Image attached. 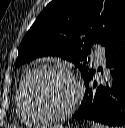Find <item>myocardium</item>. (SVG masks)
<instances>
[{"mask_svg":"<svg viewBox=\"0 0 125 128\" xmlns=\"http://www.w3.org/2000/svg\"><path fill=\"white\" fill-rule=\"evenodd\" d=\"M43 72H56V73L63 74L70 79V81L72 82L75 88V96L72 103L66 109H64L59 113L41 112L37 110L31 103L29 93H28L29 85L35 76ZM22 97L28 113L32 115L34 119L43 123H54V122H59L62 119H65L76 110L82 98V86L68 68L63 67L61 65L44 64V65L35 67L34 69H32L26 74L23 82V87H22Z\"/></svg>","mask_w":125,"mask_h":128,"instance_id":"f54148a6","label":"myocardium"}]
</instances>
